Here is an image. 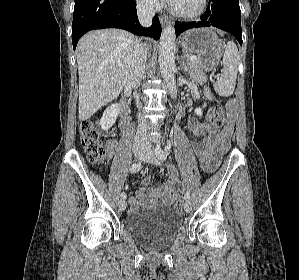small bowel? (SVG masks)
<instances>
[{
	"label": "small bowel",
	"instance_id": "small-bowel-1",
	"mask_svg": "<svg viewBox=\"0 0 299 280\" xmlns=\"http://www.w3.org/2000/svg\"><path fill=\"white\" fill-rule=\"evenodd\" d=\"M189 133L194 137H201V140L192 143L193 152L199 157H206L209 160L208 171L214 170L219 164L222 156L230 147V140L233 133V121L230 120L220 131L213 122H199L189 119L187 122ZM117 142L109 139L106 142V155L111 157L116 148ZM151 183V176L142 180V187L135 197L129 199L130 212L137 211L140 207H153L157 205L171 206L183 192V184L177 177L174 165H169V179L160 187L146 189Z\"/></svg>",
	"mask_w": 299,
	"mask_h": 280
}]
</instances>
